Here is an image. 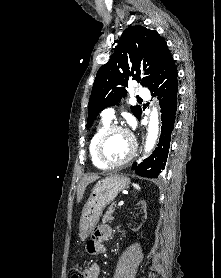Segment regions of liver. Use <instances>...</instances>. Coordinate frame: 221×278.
I'll return each mask as SVG.
<instances>
[{
    "mask_svg": "<svg viewBox=\"0 0 221 278\" xmlns=\"http://www.w3.org/2000/svg\"><path fill=\"white\" fill-rule=\"evenodd\" d=\"M99 179V176L98 175H95V174H92V175H84L82 177V179L80 180L79 184H78V187H77V202L79 203L82 198H83V195H84V192L86 190V187Z\"/></svg>",
    "mask_w": 221,
    "mask_h": 278,
    "instance_id": "obj_1",
    "label": "liver"
}]
</instances>
